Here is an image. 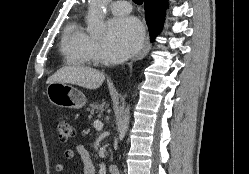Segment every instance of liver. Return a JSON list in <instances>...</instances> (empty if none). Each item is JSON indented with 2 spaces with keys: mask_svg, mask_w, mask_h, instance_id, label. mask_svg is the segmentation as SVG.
I'll return each mask as SVG.
<instances>
[{
  "mask_svg": "<svg viewBox=\"0 0 249 174\" xmlns=\"http://www.w3.org/2000/svg\"><path fill=\"white\" fill-rule=\"evenodd\" d=\"M105 80V75L100 71L82 66H66L56 71L47 80L53 82L78 85L87 89L99 88Z\"/></svg>",
  "mask_w": 249,
  "mask_h": 174,
  "instance_id": "obj_1",
  "label": "liver"
}]
</instances>
